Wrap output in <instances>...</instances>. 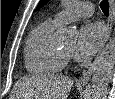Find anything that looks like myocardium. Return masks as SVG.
Instances as JSON below:
<instances>
[{"label": "myocardium", "mask_w": 115, "mask_h": 99, "mask_svg": "<svg viewBox=\"0 0 115 99\" xmlns=\"http://www.w3.org/2000/svg\"><path fill=\"white\" fill-rule=\"evenodd\" d=\"M61 52V56L63 57L64 61H70L72 59V54L67 53L63 50L60 51Z\"/></svg>", "instance_id": "f54148a6"}]
</instances>
